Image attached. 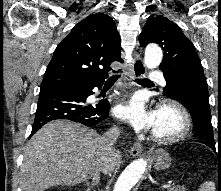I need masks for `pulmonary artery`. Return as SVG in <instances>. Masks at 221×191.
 <instances>
[{"mask_svg":"<svg viewBox=\"0 0 221 191\" xmlns=\"http://www.w3.org/2000/svg\"><path fill=\"white\" fill-rule=\"evenodd\" d=\"M149 79L151 81H158L161 82L162 84H165V80L163 77V74L159 71H152L149 73Z\"/></svg>","mask_w":221,"mask_h":191,"instance_id":"pulmonary-artery-1","label":"pulmonary artery"}]
</instances>
